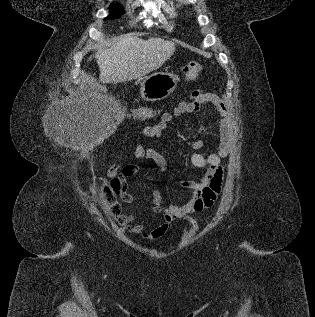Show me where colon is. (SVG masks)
<instances>
[{
    "label": "colon",
    "mask_w": 315,
    "mask_h": 317,
    "mask_svg": "<svg viewBox=\"0 0 315 317\" xmlns=\"http://www.w3.org/2000/svg\"><path fill=\"white\" fill-rule=\"evenodd\" d=\"M202 71V65L199 62H191L184 68V76L186 81L194 80L198 74ZM156 109L147 107L139 111L138 115L141 118L152 117L156 113ZM119 193V184L116 181L111 183V187L104 189V198L110 204V213L113 217L119 218L120 206L117 201L112 199L113 195ZM120 219V218H119Z\"/></svg>",
    "instance_id": "5ec220e1"
}]
</instances>
